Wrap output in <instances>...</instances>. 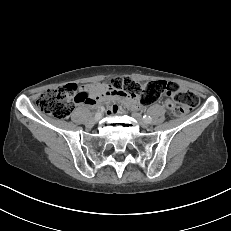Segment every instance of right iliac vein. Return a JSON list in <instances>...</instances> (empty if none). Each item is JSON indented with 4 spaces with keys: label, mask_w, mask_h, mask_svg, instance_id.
<instances>
[{
    "label": "right iliac vein",
    "mask_w": 231,
    "mask_h": 231,
    "mask_svg": "<svg viewBox=\"0 0 231 231\" xmlns=\"http://www.w3.org/2000/svg\"><path fill=\"white\" fill-rule=\"evenodd\" d=\"M101 118H102V114L99 113V114L96 115L92 120H90V121L88 122V125H89V126L94 125V124L97 123Z\"/></svg>",
    "instance_id": "1"
}]
</instances>
